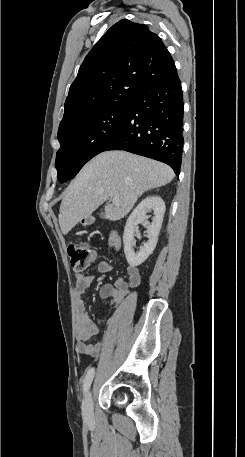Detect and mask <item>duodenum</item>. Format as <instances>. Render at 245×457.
Here are the masks:
<instances>
[{
  "label": "duodenum",
  "instance_id": "obj_1",
  "mask_svg": "<svg viewBox=\"0 0 245 457\" xmlns=\"http://www.w3.org/2000/svg\"><path fill=\"white\" fill-rule=\"evenodd\" d=\"M110 245L114 249L120 246V239L115 233L110 236Z\"/></svg>",
  "mask_w": 245,
  "mask_h": 457
}]
</instances>
